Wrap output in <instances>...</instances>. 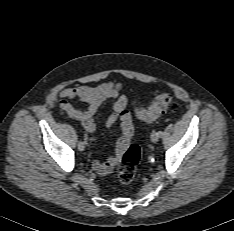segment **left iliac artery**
<instances>
[{
  "instance_id": "44dca946",
  "label": "left iliac artery",
  "mask_w": 234,
  "mask_h": 231,
  "mask_svg": "<svg viewBox=\"0 0 234 231\" xmlns=\"http://www.w3.org/2000/svg\"><path fill=\"white\" fill-rule=\"evenodd\" d=\"M159 137H162L163 133L161 131L157 132Z\"/></svg>"
}]
</instances>
